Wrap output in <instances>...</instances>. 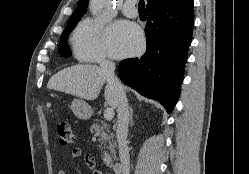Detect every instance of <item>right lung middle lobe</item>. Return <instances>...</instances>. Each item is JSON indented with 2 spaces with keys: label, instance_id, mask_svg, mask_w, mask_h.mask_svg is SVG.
<instances>
[{
  "label": "right lung middle lobe",
  "instance_id": "dd1d6c3e",
  "mask_svg": "<svg viewBox=\"0 0 249 174\" xmlns=\"http://www.w3.org/2000/svg\"><path fill=\"white\" fill-rule=\"evenodd\" d=\"M78 21L76 22H69L67 24L66 29L64 30L61 39H60V44H59V53L64 56V57H70L71 56V51L68 47L67 44V38L68 34L74 29Z\"/></svg>",
  "mask_w": 249,
  "mask_h": 174
}]
</instances>
